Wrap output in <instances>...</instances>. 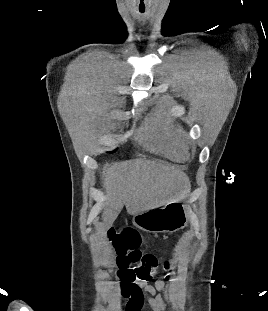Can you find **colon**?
I'll return each mask as SVG.
<instances>
[{"mask_svg": "<svg viewBox=\"0 0 268 311\" xmlns=\"http://www.w3.org/2000/svg\"><path fill=\"white\" fill-rule=\"evenodd\" d=\"M108 236L117 252L118 275L122 281V293L127 296L136 291L135 282L149 281L158 273V259L151 253H143L139 247L141 238L132 229H124L117 233L111 229ZM162 273L166 277L171 273V262H164Z\"/></svg>", "mask_w": 268, "mask_h": 311, "instance_id": "1", "label": "colon"}]
</instances>
